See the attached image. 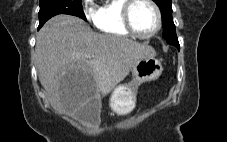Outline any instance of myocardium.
Segmentation results:
<instances>
[{"label":"myocardium","mask_w":227,"mask_h":142,"mask_svg":"<svg viewBox=\"0 0 227 142\" xmlns=\"http://www.w3.org/2000/svg\"><path fill=\"white\" fill-rule=\"evenodd\" d=\"M140 1H145L148 4H150L153 7V9L155 10L156 15H157V26H156L155 30L149 34H142V33L138 32L132 22L133 8ZM122 22H123L124 27L130 34H132L138 38H141V39H150V38L154 37L155 35H157L162 28V23H163L162 12H161L160 7L154 0H125V3L122 7Z\"/></svg>","instance_id":"1"}]
</instances>
